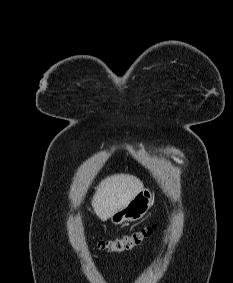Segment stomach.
Masks as SVG:
<instances>
[{"label":"stomach","instance_id":"1","mask_svg":"<svg viewBox=\"0 0 233 283\" xmlns=\"http://www.w3.org/2000/svg\"><path fill=\"white\" fill-rule=\"evenodd\" d=\"M152 204V193L148 189H143L125 207L110 217L111 222L119 225L127 221H137L148 212Z\"/></svg>","mask_w":233,"mask_h":283}]
</instances>
